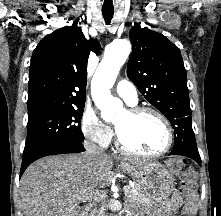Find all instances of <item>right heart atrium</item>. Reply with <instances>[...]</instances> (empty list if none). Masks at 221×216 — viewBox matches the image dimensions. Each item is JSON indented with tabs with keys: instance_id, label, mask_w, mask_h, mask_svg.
<instances>
[{
	"instance_id": "right-heart-atrium-1",
	"label": "right heart atrium",
	"mask_w": 221,
	"mask_h": 216,
	"mask_svg": "<svg viewBox=\"0 0 221 216\" xmlns=\"http://www.w3.org/2000/svg\"><path fill=\"white\" fill-rule=\"evenodd\" d=\"M80 126L82 134L90 142L101 147H106L110 144L113 130L101 119L94 108H85L81 116Z\"/></svg>"
}]
</instances>
